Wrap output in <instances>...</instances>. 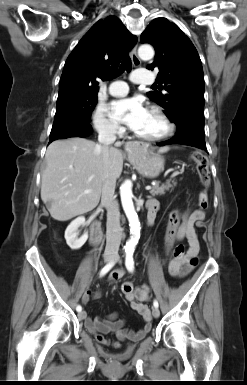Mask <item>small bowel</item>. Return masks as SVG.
Returning a JSON list of instances; mask_svg holds the SVG:
<instances>
[{
	"label": "small bowel",
	"mask_w": 247,
	"mask_h": 385,
	"mask_svg": "<svg viewBox=\"0 0 247 385\" xmlns=\"http://www.w3.org/2000/svg\"><path fill=\"white\" fill-rule=\"evenodd\" d=\"M159 204L156 200L147 201L148 212L154 210L157 212ZM156 216V214H155ZM205 213L201 208L195 210H186L180 212L174 210L170 214L169 226L166 233V243L168 249L173 244L184 238L188 241L187 254L180 260H171L168 264V270L171 276L182 278L187 276L198 263L199 240L195 231V225L202 226V220ZM125 274L123 269L115 270L109 275V281L117 282ZM129 285L131 292L126 293L125 297L129 301L133 310H135L143 319L144 324L138 331H132L126 327V321L119 319L116 313L105 317H96L85 319V326L88 332L95 336L96 340L103 345H110L114 348L121 347L119 341H139L150 331L152 327V317L147 302L150 300L149 286L143 285L137 288L131 283ZM101 296V291L86 290L82 296V302L87 304L91 299H97ZM114 333L119 341H110L104 337L106 334Z\"/></svg>",
	"instance_id": "c3829d8e"
}]
</instances>
